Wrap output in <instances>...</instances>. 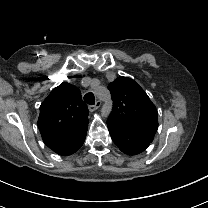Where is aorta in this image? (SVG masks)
<instances>
[{
	"label": "aorta",
	"instance_id": "obj_1",
	"mask_svg": "<svg viewBox=\"0 0 208 208\" xmlns=\"http://www.w3.org/2000/svg\"><path fill=\"white\" fill-rule=\"evenodd\" d=\"M109 113H110V109L107 108L105 105H103L101 108V115L107 117Z\"/></svg>",
	"mask_w": 208,
	"mask_h": 208
}]
</instances>
